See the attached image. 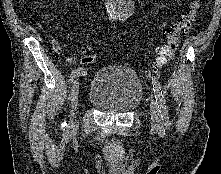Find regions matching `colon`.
<instances>
[{"label": "colon", "mask_w": 221, "mask_h": 174, "mask_svg": "<svg viewBox=\"0 0 221 174\" xmlns=\"http://www.w3.org/2000/svg\"><path fill=\"white\" fill-rule=\"evenodd\" d=\"M200 7L201 0H190L186 11L182 14L180 19L172 22L165 29L164 35L166 42L157 50V55L152 65L153 71H158L164 67L173 57L180 39L192 29L196 22ZM82 62L85 64H93L96 62V57L93 54H86Z\"/></svg>", "instance_id": "1"}]
</instances>
